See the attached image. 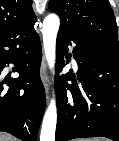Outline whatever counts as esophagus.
I'll return each instance as SVG.
<instances>
[{
  "label": "esophagus",
  "instance_id": "1",
  "mask_svg": "<svg viewBox=\"0 0 119 141\" xmlns=\"http://www.w3.org/2000/svg\"><path fill=\"white\" fill-rule=\"evenodd\" d=\"M40 75H41V80L43 82L46 94H48V92H49V77L47 74V65H46L45 59H43L42 63H41Z\"/></svg>",
  "mask_w": 119,
  "mask_h": 141
}]
</instances>
